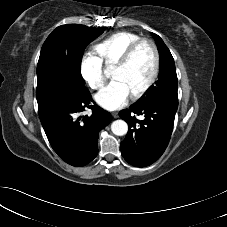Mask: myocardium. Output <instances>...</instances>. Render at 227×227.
Listing matches in <instances>:
<instances>
[{
    "label": "myocardium",
    "mask_w": 227,
    "mask_h": 227,
    "mask_svg": "<svg viewBox=\"0 0 227 227\" xmlns=\"http://www.w3.org/2000/svg\"><path fill=\"white\" fill-rule=\"evenodd\" d=\"M142 44H148L153 52V57H154V64H153V70L151 73V76L147 80V82L144 84L142 88H140L138 91L135 93L131 94L132 99H139L143 95H145L150 88L153 86V84L156 82L159 71H160V53L158 50V47L156 43L148 38H140L133 42L123 53L121 58L115 63V67L123 68L129 64L131 61L133 55L135 54L136 50L142 45Z\"/></svg>",
    "instance_id": "1"
}]
</instances>
